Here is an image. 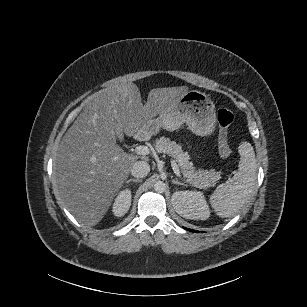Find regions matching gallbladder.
<instances>
[{
	"label": "gallbladder",
	"instance_id": "gallbladder-1",
	"mask_svg": "<svg viewBox=\"0 0 307 307\" xmlns=\"http://www.w3.org/2000/svg\"><path fill=\"white\" fill-rule=\"evenodd\" d=\"M112 129L115 133V138L118 139V140H121L124 136L122 126L119 125L118 122H113L112 123Z\"/></svg>",
	"mask_w": 307,
	"mask_h": 307
}]
</instances>
